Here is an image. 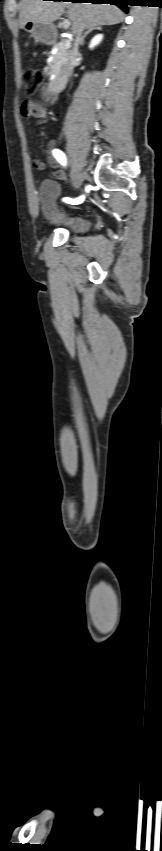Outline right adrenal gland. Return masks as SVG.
Instances as JSON below:
<instances>
[{"label": "right adrenal gland", "instance_id": "1", "mask_svg": "<svg viewBox=\"0 0 162 851\" xmlns=\"http://www.w3.org/2000/svg\"><path fill=\"white\" fill-rule=\"evenodd\" d=\"M93 30H99V31H100V30H101V27L99 26V27L90 28L88 31H86V32L84 33V35H83L82 39H81V43H80V45H84V40H85L86 36H87V35H88L91 31H93Z\"/></svg>", "mask_w": 162, "mask_h": 851}]
</instances>
